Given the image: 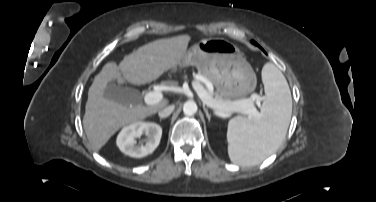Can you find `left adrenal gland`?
I'll use <instances>...</instances> for the list:
<instances>
[{
    "mask_svg": "<svg viewBox=\"0 0 376 202\" xmlns=\"http://www.w3.org/2000/svg\"><path fill=\"white\" fill-rule=\"evenodd\" d=\"M203 109H204V112H205V114H206V116H207L208 121L210 122V120H211V115L209 114L207 108H206L204 105H203Z\"/></svg>",
    "mask_w": 376,
    "mask_h": 202,
    "instance_id": "left-adrenal-gland-1",
    "label": "left adrenal gland"
}]
</instances>
